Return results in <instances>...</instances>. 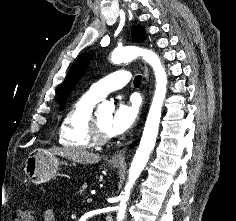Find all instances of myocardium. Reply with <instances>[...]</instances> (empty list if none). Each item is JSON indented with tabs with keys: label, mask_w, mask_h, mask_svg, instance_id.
I'll return each mask as SVG.
<instances>
[{
	"label": "myocardium",
	"mask_w": 236,
	"mask_h": 221,
	"mask_svg": "<svg viewBox=\"0 0 236 221\" xmlns=\"http://www.w3.org/2000/svg\"><path fill=\"white\" fill-rule=\"evenodd\" d=\"M89 136L94 144H105L111 139L109 134L101 130L97 116L93 114L89 123Z\"/></svg>",
	"instance_id": "f54148a6"
}]
</instances>
